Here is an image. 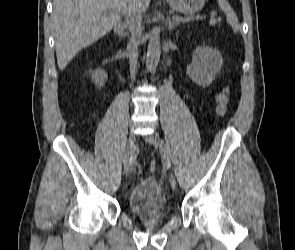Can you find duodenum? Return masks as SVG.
<instances>
[{
  "label": "duodenum",
  "instance_id": "1",
  "mask_svg": "<svg viewBox=\"0 0 295 250\" xmlns=\"http://www.w3.org/2000/svg\"><path fill=\"white\" fill-rule=\"evenodd\" d=\"M124 32H125V26L123 24H119L116 27V35L118 37L117 42L120 44L122 41V38L124 36Z\"/></svg>",
  "mask_w": 295,
  "mask_h": 250
}]
</instances>
